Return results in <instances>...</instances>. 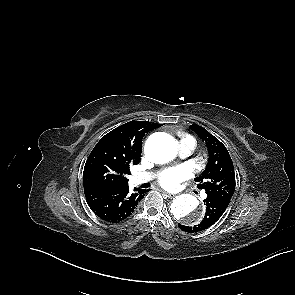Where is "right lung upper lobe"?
I'll return each instance as SVG.
<instances>
[{
    "label": "right lung upper lobe",
    "instance_id": "right-lung-upper-lobe-1",
    "mask_svg": "<svg viewBox=\"0 0 295 295\" xmlns=\"http://www.w3.org/2000/svg\"><path fill=\"white\" fill-rule=\"evenodd\" d=\"M162 126V124L147 121H130L107 133L100 143H109L123 151L140 159L142 138L145 133Z\"/></svg>",
    "mask_w": 295,
    "mask_h": 295
}]
</instances>
